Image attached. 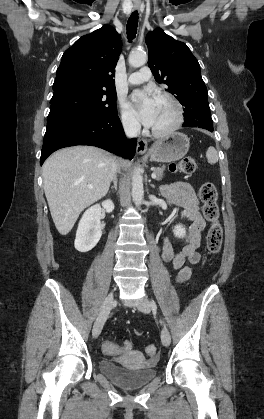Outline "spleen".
Masks as SVG:
<instances>
[{"label": "spleen", "instance_id": "obj_1", "mask_svg": "<svg viewBox=\"0 0 264 419\" xmlns=\"http://www.w3.org/2000/svg\"><path fill=\"white\" fill-rule=\"evenodd\" d=\"M206 158L208 163L215 164L218 162V154L214 147L210 146L206 151Z\"/></svg>", "mask_w": 264, "mask_h": 419}]
</instances>
